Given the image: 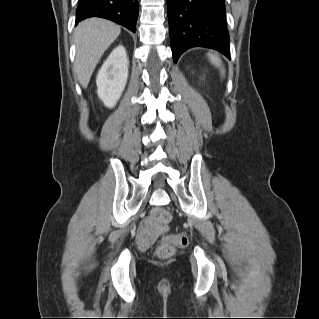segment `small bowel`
<instances>
[{
  "instance_id": "1",
  "label": "small bowel",
  "mask_w": 319,
  "mask_h": 319,
  "mask_svg": "<svg viewBox=\"0 0 319 319\" xmlns=\"http://www.w3.org/2000/svg\"><path fill=\"white\" fill-rule=\"evenodd\" d=\"M148 229L147 223H144L141 227H140V231L142 233V237L146 240L150 239V236L146 234V231Z\"/></svg>"
}]
</instances>
